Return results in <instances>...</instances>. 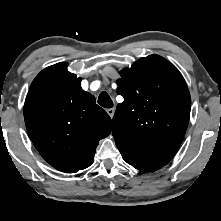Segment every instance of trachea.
I'll return each mask as SVG.
<instances>
[{"mask_svg": "<svg viewBox=\"0 0 221 221\" xmlns=\"http://www.w3.org/2000/svg\"><path fill=\"white\" fill-rule=\"evenodd\" d=\"M98 104L104 108H112L113 101L106 92H102L98 98Z\"/></svg>", "mask_w": 221, "mask_h": 221, "instance_id": "obj_1", "label": "trachea"}]
</instances>
